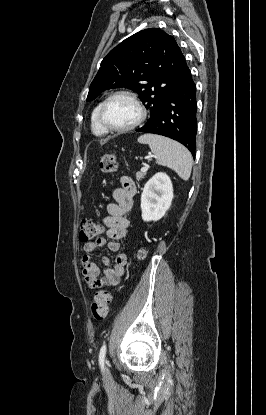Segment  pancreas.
<instances>
[{
  "label": "pancreas",
  "instance_id": "cf45deb5",
  "mask_svg": "<svg viewBox=\"0 0 266 415\" xmlns=\"http://www.w3.org/2000/svg\"><path fill=\"white\" fill-rule=\"evenodd\" d=\"M146 175V172H142V171H140V172H137L136 173V180L137 181H140L141 179H143L144 178V176Z\"/></svg>",
  "mask_w": 266,
  "mask_h": 415
}]
</instances>
